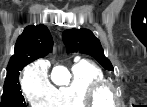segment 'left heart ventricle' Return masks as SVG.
I'll return each mask as SVG.
<instances>
[{
	"label": "left heart ventricle",
	"instance_id": "obj_1",
	"mask_svg": "<svg viewBox=\"0 0 147 107\" xmlns=\"http://www.w3.org/2000/svg\"><path fill=\"white\" fill-rule=\"evenodd\" d=\"M99 100L103 103V104H110L111 103V95L109 92H103L100 94L99 96Z\"/></svg>",
	"mask_w": 147,
	"mask_h": 107
}]
</instances>
